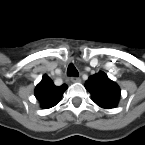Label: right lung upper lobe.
Segmentation results:
<instances>
[{
	"label": "right lung upper lobe",
	"instance_id": "1",
	"mask_svg": "<svg viewBox=\"0 0 145 145\" xmlns=\"http://www.w3.org/2000/svg\"><path fill=\"white\" fill-rule=\"evenodd\" d=\"M67 89V85L60 87L54 85L51 78L47 75L42 77L41 82L36 86L35 96L44 109L51 108L59 103L63 92Z\"/></svg>",
	"mask_w": 145,
	"mask_h": 145
}]
</instances>
